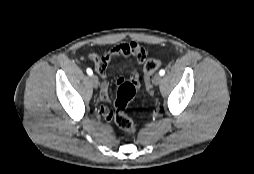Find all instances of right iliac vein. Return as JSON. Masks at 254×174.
<instances>
[{
    "mask_svg": "<svg viewBox=\"0 0 254 174\" xmlns=\"http://www.w3.org/2000/svg\"><path fill=\"white\" fill-rule=\"evenodd\" d=\"M90 80H91V83H92L93 87H94L95 89H97L98 86H99V79H98V77H97L96 75H92V76L90 77Z\"/></svg>",
    "mask_w": 254,
    "mask_h": 174,
    "instance_id": "right-iliac-vein-1",
    "label": "right iliac vein"
}]
</instances>
